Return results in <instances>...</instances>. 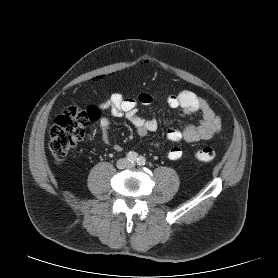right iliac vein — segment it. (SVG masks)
I'll list each match as a JSON object with an SVG mask.
<instances>
[{
	"instance_id": "63e3f726",
	"label": "right iliac vein",
	"mask_w": 278,
	"mask_h": 278,
	"mask_svg": "<svg viewBox=\"0 0 278 278\" xmlns=\"http://www.w3.org/2000/svg\"><path fill=\"white\" fill-rule=\"evenodd\" d=\"M125 164H126V162H125L124 160H121V161L119 162V166H120V167H124Z\"/></svg>"
}]
</instances>
